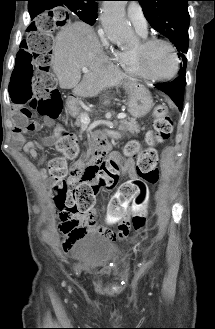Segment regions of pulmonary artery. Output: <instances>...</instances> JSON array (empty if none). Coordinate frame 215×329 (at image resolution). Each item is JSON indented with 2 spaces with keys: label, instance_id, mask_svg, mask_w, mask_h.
I'll return each instance as SVG.
<instances>
[{
  "label": "pulmonary artery",
  "instance_id": "pulmonary-artery-1",
  "mask_svg": "<svg viewBox=\"0 0 215 329\" xmlns=\"http://www.w3.org/2000/svg\"><path fill=\"white\" fill-rule=\"evenodd\" d=\"M127 15L135 29L140 34H147V21L142 11V8L137 3H132L127 9Z\"/></svg>",
  "mask_w": 215,
  "mask_h": 329
}]
</instances>
